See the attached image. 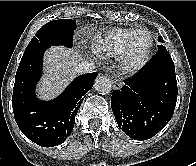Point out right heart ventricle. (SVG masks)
Segmentation results:
<instances>
[{
  "mask_svg": "<svg viewBox=\"0 0 196 166\" xmlns=\"http://www.w3.org/2000/svg\"><path fill=\"white\" fill-rule=\"evenodd\" d=\"M132 29L116 28L101 32L92 42V50L102 58L120 57L123 55L126 38Z\"/></svg>",
  "mask_w": 196,
  "mask_h": 166,
  "instance_id": "obj_1",
  "label": "right heart ventricle"
}]
</instances>
